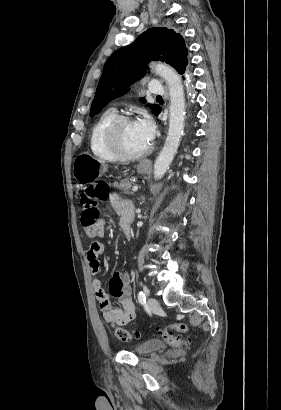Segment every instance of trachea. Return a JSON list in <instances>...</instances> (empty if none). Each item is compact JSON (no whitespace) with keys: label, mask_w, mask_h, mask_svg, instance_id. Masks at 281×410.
<instances>
[{"label":"trachea","mask_w":281,"mask_h":410,"mask_svg":"<svg viewBox=\"0 0 281 410\" xmlns=\"http://www.w3.org/2000/svg\"><path fill=\"white\" fill-rule=\"evenodd\" d=\"M157 98H162V97L158 95Z\"/></svg>","instance_id":"obj_1"}]
</instances>
